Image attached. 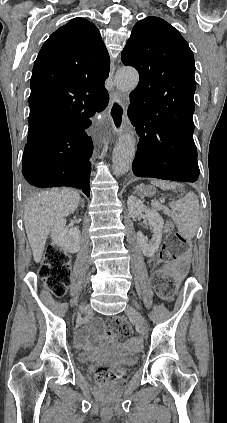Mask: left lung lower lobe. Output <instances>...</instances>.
Returning a JSON list of instances; mask_svg holds the SVG:
<instances>
[{
    "label": "left lung lower lobe",
    "mask_w": 227,
    "mask_h": 423,
    "mask_svg": "<svg viewBox=\"0 0 227 423\" xmlns=\"http://www.w3.org/2000/svg\"><path fill=\"white\" fill-rule=\"evenodd\" d=\"M140 141L133 161L138 177L194 182L199 176L193 113L150 111L129 106Z\"/></svg>",
    "instance_id": "0a47b994"
}]
</instances>
